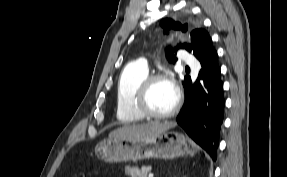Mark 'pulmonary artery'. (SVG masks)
<instances>
[{
  "mask_svg": "<svg viewBox=\"0 0 287 177\" xmlns=\"http://www.w3.org/2000/svg\"><path fill=\"white\" fill-rule=\"evenodd\" d=\"M180 54L182 55V62H181L182 65L195 66L198 64L197 59L193 55L189 54L186 50L181 49ZM140 64L145 67H148L147 62L144 60L141 61Z\"/></svg>",
  "mask_w": 287,
  "mask_h": 177,
  "instance_id": "obj_1",
  "label": "pulmonary artery"
}]
</instances>
